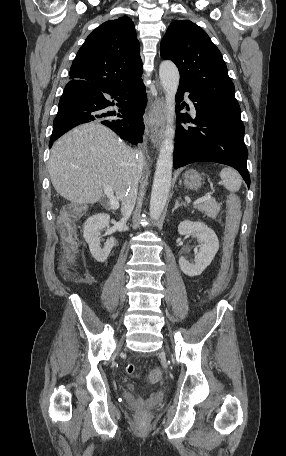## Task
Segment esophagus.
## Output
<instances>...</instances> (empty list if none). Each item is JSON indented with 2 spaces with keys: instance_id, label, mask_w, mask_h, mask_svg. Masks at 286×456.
Listing matches in <instances>:
<instances>
[{
  "instance_id": "obj_1",
  "label": "esophagus",
  "mask_w": 286,
  "mask_h": 456,
  "mask_svg": "<svg viewBox=\"0 0 286 456\" xmlns=\"http://www.w3.org/2000/svg\"><path fill=\"white\" fill-rule=\"evenodd\" d=\"M160 96L151 102L149 106V131H150V140L152 145L158 149L162 137H163V127H164V111H165V97L162 94L161 88Z\"/></svg>"
}]
</instances>
